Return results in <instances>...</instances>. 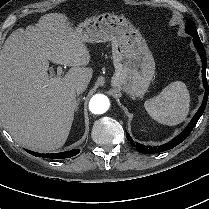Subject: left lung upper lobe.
I'll return each instance as SVG.
<instances>
[{
  "label": "left lung upper lobe",
  "mask_w": 209,
  "mask_h": 209,
  "mask_svg": "<svg viewBox=\"0 0 209 209\" xmlns=\"http://www.w3.org/2000/svg\"><path fill=\"white\" fill-rule=\"evenodd\" d=\"M185 31H186V33H188L192 37L198 36V32L196 30V27H195L194 23L190 19H187V21H186Z\"/></svg>",
  "instance_id": "5c2ea615"
}]
</instances>
